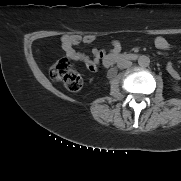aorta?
Instances as JSON below:
<instances>
[{"mask_svg":"<svg viewBox=\"0 0 181 181\" xmlns=\"http://www.w3.org/2000/svg\"><path fill=\"white\" fill-rule=\"evenodd\" d=\"M138 64L139 66L141 67H148L150 65V59L148 56L146 55H141L139 58H138Z\"/></svg>","mask_w":181,"mask_h":181,"instance_id":"obj_1","label":"aorta"}]
</instances>
